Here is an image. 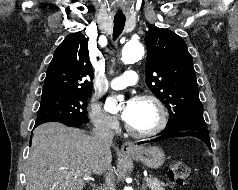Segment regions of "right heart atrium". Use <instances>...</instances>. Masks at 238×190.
<instances>
[{"instance_id": "obj_1", "label": "right heart atrium", "mask_w": 238, "mask_h": 190, "mask_svg": "<svg viewBox=\"0 0 238 190\" xmlns=\"http://www.w3.org/2000/svg\"><path fill=\"white\" fill-rule=\"evenodd\" d=\"M87 114L91 123L100 130L114 131L118 126L117 119L103 111L98 103H91L88 106Z\"/></svg>"}]
</instances>
